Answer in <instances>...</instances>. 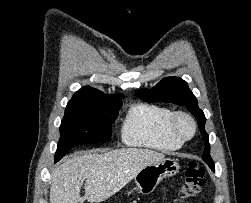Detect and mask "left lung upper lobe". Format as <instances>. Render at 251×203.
Masks as SVG:
<instances>
[{
  "label": "left lung upper lobe",
  "instance_id": "left-lung-upper-lobe-1",
  "mask_svg": "<svg viewBox=\"0 0 251 203\" xmlns=\"http://www.w3.org/2000/svg\"><path fill=\"white\" fill-rule=\"evenodd\" d=\"M137 93L147 101L171 102L187 107L198 120L199 129L206 144L202 158L212 170H215L213 160L210 156L209 136L205 131V115L199 109L196 97L184 80L178 77H167L162 79L152 89H139Z\"/></svg>",
  "mask_w": 251,
  "mask_h": 203
}]
</instances>
